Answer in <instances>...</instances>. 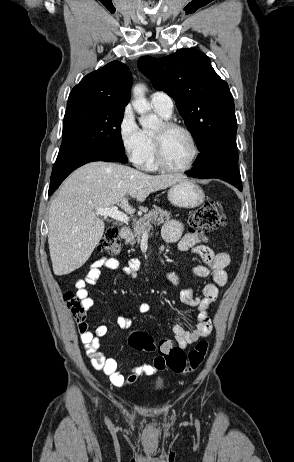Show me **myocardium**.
<instances>
[{"mask_svg":"<svg viewBox=\"0 0 294 462\" xmlns=\"http://www.w3.org/2000/svg\"><path fill=\"white\" fill-rule=\"evenodd\" d=\"M161 126H162V130L160 132H155L153 134L154 148H155V161H156L157 167L169 173H183V172L189 171L195 165L200 155V146H199V142L195 134L189 127L183 124H180V123L172 122V121H165L162 123ZM174 130H180L186 133L189 139L191 140V143L193 146L192 157L190 161L188 162V164L183 167H172L165 160L164 137L166 133L174 131Z\"/></svg>","mask_w":294,"mask_h":462,"instance_id":"1","label":"myocardium"}]
</instances>
